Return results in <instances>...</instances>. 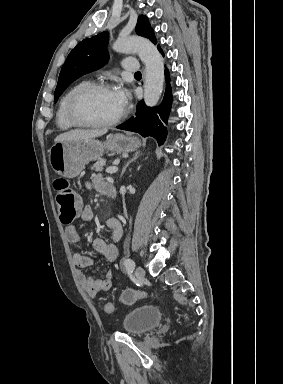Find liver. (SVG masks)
Here are the masks:
<instances>
[{
  "instance_id": "obj_1",
  "label": "liver",
  "mask_w": 283,
  "mask_h": 384,
  "mask_svg": "<svg viewBox=\"0 0 283 384\" xmlns=\"http://www.w3.org/2000/svg\"><path fill=\"white\" fill-rule=\"evenodd\" d=\"M107 130H70V132H65V134H60L55 138L54 142H79V140H89V138H99V136H104Z\"/></svg>"
}]
</instances>
